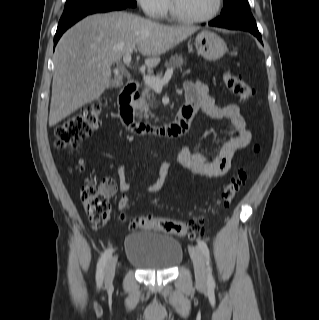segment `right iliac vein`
<instances>
[{
	"instance_id": "right-iliac-vein-1",
	"label": "right iliac vein",
	"mask_w": 319,
	"mask_h": 320,
	"mask_svg": "<svg viewBox=\"0 0 319 320\" xmlns=\"http://www.w3.org/2000/svg\"><path fill=\"white\" fill-rule=\"evenodd\" d=\"M117 255L113 256L106 264L105 268V283L107 286L112 284L114 275H115V269L117 264Z\"/></svg>"
}]
</instances>
